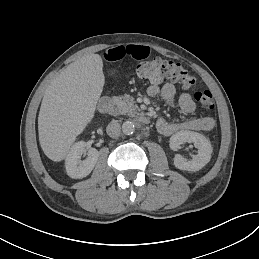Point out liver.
I'll use <instances>...</instances> for the list:
<instances>
[{
	"instance_id": "obj_1",
	"label": "liver",
	"mask_w": 259,
	"mask_h": 259,
	"mask_svg": "<svg viewBox=\"0 0 259 259\" xmlns=\"http://www.w3.org/2000/svg\"><path fill=\"white\" fill-rule=\"evenodd\" d=\"M103 61L90 54L71 63L46 88L38 116L39 142L45 155L61 161L94 117L104 86Z\"/></svg>"
}]
</instances>
